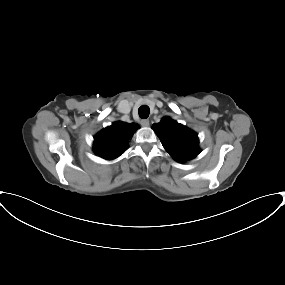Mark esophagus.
Masks as SVG:
<instances>
[{
  "mask_svg": "<svg viewBox=\"0 0 285 285\" xmlns=\"http://www.w3.org/2000/svg\"><path fill=\"white\" fill-rule=\"evenodd\" d=\"M140 123H141V125L144 126V127L149 126V120H148V119L141 120Z\"/></svg>",
  "mask_w": 285,
  "mask_h": 285,
  "instance_id": "1",
  "label": "esophagus"
}]
</instances>
